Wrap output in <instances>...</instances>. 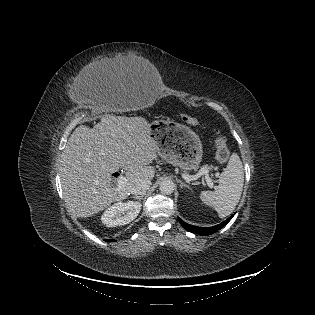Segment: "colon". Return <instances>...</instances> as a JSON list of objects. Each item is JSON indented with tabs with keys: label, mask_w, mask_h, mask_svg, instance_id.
<instances>
[{
	"label": "colon",
	"mask_w": 315,
	"mask_h": 315,
	"mask_svg": "<svg viewBox=\"0 0 315 315\" xmlns=\"http://www.w3.org/2000/svg\"><path fill=\"white\" fill-rule=\"evenodd\" d=\"M181 119L192 126H201L199 120L191 115L183 114ZM215 157L218 163H225L230 157V149L223 137L215 134Z\"/></svg>",
	"instance_id": "5ec220e1"
}]
</instances>
